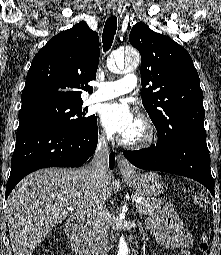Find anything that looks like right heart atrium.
<instances>
[{
    "label": "right heart atrium",
    "instance_id": "1",
    "mask_svg": "<svg viewBox=\"0 0 221 255\" xmlns=\"http://www.w3.org/2000/svg\"><path fill=\"white\" fill-rule=\"evenodd\" d=\"M99 141H100L101 143H104V142L106 141V138H105V135H104V134H100V136H99Z\"/></svg>",
    "mask_w": 221,
    "mask_h": 255
}]
</instances>
